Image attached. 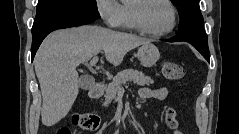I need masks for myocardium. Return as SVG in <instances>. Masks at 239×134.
Returning <instances> with one entry per match:
<instances>
[{"instance_id":"obj_1","label":"myocardium","mask_w":239,"mask_h":134,"mask_svg":"<svg viewBox=\"0 0 239 134\" xmlns=\"http://www.w3.org/2000/svg\"><path fill=\"white\" fill-rule=\"evenodd\" d=\"M151 0H133L130 6V14H131V20L133 23L134 28H136L139 32L154 36V37H162L170 34L176 27L177 24V12L170 0H159L165 3L168 8L171 11V24L170 26L162 31H153L147 28V26L144 24L142 19V10L144 6Z\"/></svg>"}]
</instances>
